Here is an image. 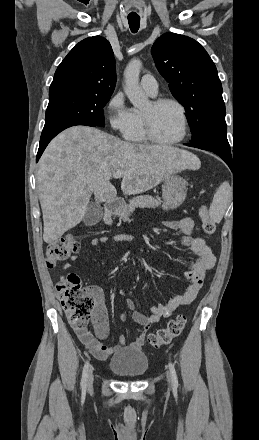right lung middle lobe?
<instances>
[{"label":"right lung middle lobe","mask_w":259,"mask_h":440,"mask_svg":"<svg viewBox=\"0 0 259 440\" xmlns=\"http://www.w3.org/2000/svg\"><path fill=\"white\" fill-rule=\"evenodd\" d=\"M112 93L65 91L49 95L45 125L48 129L65 122H83L104 127L103 107Z\"/></svg>","instance_id":"1"}]
</instances>
